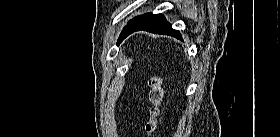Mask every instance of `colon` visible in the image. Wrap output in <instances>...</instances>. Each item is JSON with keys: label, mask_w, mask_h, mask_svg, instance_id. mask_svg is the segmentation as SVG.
<instances>
[{"label": "colon", "mask_w": 280, "mask_h": 137, "mask_svg": "<svg viewBox=\"0 0 280 137\" xmlns=\"http://www.w3.org/2000/svg\"><path fill=\"white\" fill-rule=\"evenodd\" d=\"M149 118L145 123V131L150 136L153 134L159 123L160 104L163 100L164 90L162 87V79L157 74H152L149 77Z\"/></svg>", "instance_id": "colon-1"}]
</instances>
